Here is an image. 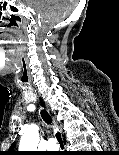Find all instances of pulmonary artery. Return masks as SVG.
<instances>
[{
    "mask_svg": "<svg viewBox=\"0 0 119 155\" xmlns=\"http://www.w3.org/2000/svg\"><path fill=\"white\" fill-rule=\"evenodd\" d=\"M58 147L54 139H49L47 142V149L48 150H56Z\"/></svg>",
    "mask_w": 119,
    "mask_h": 155,
    "instance_id": "1",
    "label": "pulmonary artery"
}]
</instances>
